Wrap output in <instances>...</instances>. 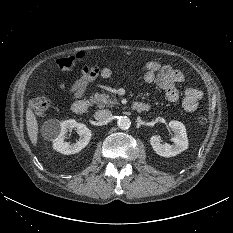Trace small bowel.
Returning a JSON list of instances; mask_svg holds the SVG:
<instances>
[{"label": "small bowel", "mask_w": 233, "mask_h": 233, "mask_svg": "<svg viewBox=\"0 0 233 233\" xmlns=\"http://www.w3.org/2000/svg\"><path fill=\"white\" fill-rule=\"evenodd\" d=\"M112 74V70L107 67L84 65L80 77L70 88L66 89L63 83L59 84V88L66 90L71 97L78 98L87 92L90 83L97 77L109 78ZM144 80L149 84L155 83L162 89L166 100L176 102L182 99L183 108L187 112L196 111L203 97L202 92L193 87L186 88L183 94H180L176 85L184 80V74L178 69L169 65H161L155 60L148 61L145 64Z\"/></svg>", "instance_id": "obj_1"}]
</instances>
